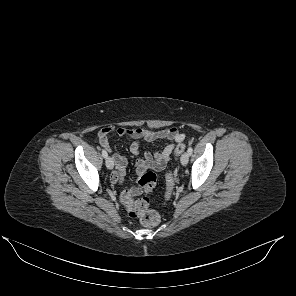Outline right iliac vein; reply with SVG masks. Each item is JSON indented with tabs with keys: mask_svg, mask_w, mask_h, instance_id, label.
Wrapping results in <instances>:
<instances>
[{
	"mask_svg": "<svg viewBox=\"0 0 296 296\" xmlns=\"http://www.w3.org/2000/svg\"><path fill=\"white\" fill-rule=\"evenodd\" d=\"M105 163H106V167L108 169H110V170L113 169L114 162H113V159L111 157H107Z\"/></svg>",
	"mask_w": 296,
	"mask_h": 296,
	"instance_id": "right-iliac-vein-1",
	"label": "right iliac vein"
}]
</instances>
